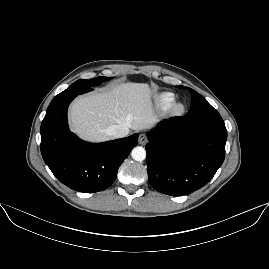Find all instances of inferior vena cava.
I'll use <instances>...</instances> for the list:
<instances>
[{
	"mask_svg": "<svg viewBox=\"0 0 269 269\" xmlns=\"http://www.w3.org/2000/svg\"><path fill=\"white\" fill-rule=\"evenodd\" d=\"M130 127L127 124H116L106 129L107 135L111 137H124L129 134Z\"/></svg>",
	"mask_w": 269,
	"mask_h": 269,
	"instance_id": "obj_1",
	"label": "inferior vena cava"
}]
</instances>
